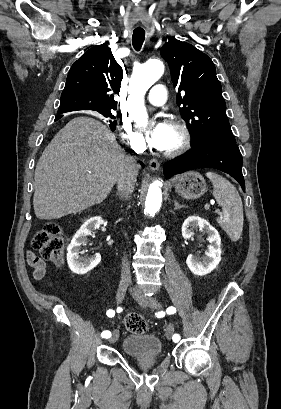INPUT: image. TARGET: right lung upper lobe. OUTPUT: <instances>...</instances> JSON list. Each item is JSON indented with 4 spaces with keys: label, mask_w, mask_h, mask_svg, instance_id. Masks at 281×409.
Returning <instances> with one entry per match:
<instances>
[{
    "label": "right lung upper lobe",
    "mask_w": 281,
    "mask_h": 409,
    "mask_svg": "<svg viewBox=\"0 0 281 409\" xmlns=\"http://www.w3.org/2000/svg\"><path fill=\"white\" fill-rule=\"evenodd\" d=\"M122 77L123 70L111 49L106 44L94 46L70 68L57 115L78 110H115L113 93H119Z\"/></svg>",
    "instance_id": "1"
}]
</instances>
